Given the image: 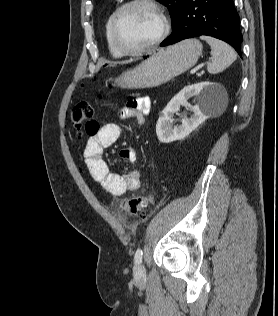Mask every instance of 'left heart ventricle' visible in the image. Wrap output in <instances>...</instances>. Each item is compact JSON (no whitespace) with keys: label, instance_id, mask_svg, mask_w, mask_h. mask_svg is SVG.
<instances>
[{"label":"left heart ventricle","instance_id":"b2bd125f","mask_svg":"<svg viewBox=\"0 0 278 316\" xmlns=\"http://www.w3.org/2000/svg\"><path fill=\"white\" fill-rule=\"evenodd\" d=\"M161 22L155 11L147 5H135L126 10L118 23V35L124 46L141 48L159 34Z\"/></svg>","mask_w":278,"mask_h":316}]
</instances>
